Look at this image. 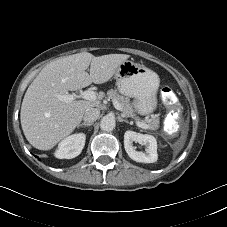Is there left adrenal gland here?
Listing matches in <instances>:
<instances>
[{"label": "left adrenal gland", "mask_w": 227, "mask_h": 227, "mask_svg": "<svg viewBox=\"0 0 227 227\" xmlns=\"http://www.w3.org/2000/svg\"><path fill=\"white\" fill-rule=\"evenodd\" d=\"M119 121H120V122H126V123H129V121H128V120L123 119V118H122V117H120V116H119Z\"/></svg>", "instance_id": "1"}]
</instances>
